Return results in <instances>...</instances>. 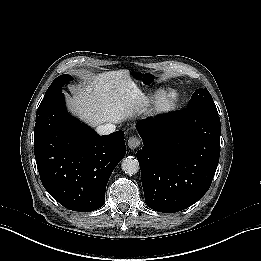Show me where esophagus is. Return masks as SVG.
Here are the masks:
<instances>
[{
  "mask_svg": "<svg viewBox=\"0 0 261 261\" xmlns=\"http://www.w3.org/2000/svg\"><path fill=\"white\" fill-rule=\"evenodd\" d=\"M140 145H141V140L138 137L133 136V137L129 138V140H128V147L131 150L137 149Z\"/></svg>",
  "mask_w": 261,
  "mask_h": 261,
  "instance_id": "obj_1",
  "label": "esophagus"
}]
</instances>
